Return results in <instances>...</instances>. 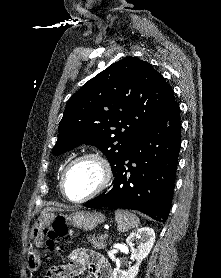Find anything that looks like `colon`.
I'll return each instance as SVG.
<instances>
[{"mask_svg":"<svg viewBox=\"0 0 221 278\" xmlns=\"http://www.w3.org/2000/svg\"><path fill=\"white\" fill-rule=\"evenodd\" d=\"M67 233L68 228L64 218L58 217L54 220L52 227L45 230L44 239L41 241L40 245L48 252H58L60 251L59 239L67 235ZM61 274L62 270L60 267H53L47 276L49 278H58Z\"/></svg>","mask_w":221,"mask_h":278,"instance_id":"colon-1","label":"colon"}]
</instances>
